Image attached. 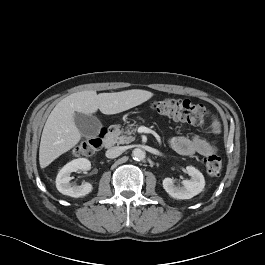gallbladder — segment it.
<instances>
[{"mask_svg": "<svg viewBox=\"0 0 265 265\" xmlns=\"http://www.w3.org/2000/svg\"><path fill=\"white\" fill-rule=\"evenodd\" d=\"M74 121L82 136L87 138L98 135L102 128L100 120L93 115L76 112Z\"/></svg>", "mask_w": 265, "mask_h": 265, "instance_id": "bac80fb5", "label": "gallbladder"}]
</instances>
